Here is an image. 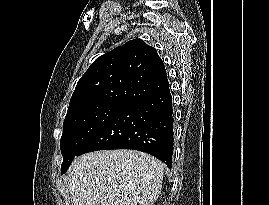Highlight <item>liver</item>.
<instances>
[{"label": "liver", "mask_w": 269, "mask_h": 205, "mask_svg": "<svg viewBox=\"0 0 269 205\" xmlns=\"http://www.w3.org/2000/svg\"><path fill=\"white\" fill-rule=\"evenodd\" d=\"M163 165L135 150L90 152L68 174L74 205H152L159 197Z\"/></svg>", "instance_id": "6515ba94"}]
</instances>
